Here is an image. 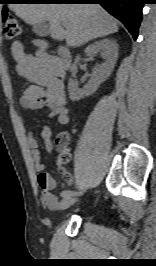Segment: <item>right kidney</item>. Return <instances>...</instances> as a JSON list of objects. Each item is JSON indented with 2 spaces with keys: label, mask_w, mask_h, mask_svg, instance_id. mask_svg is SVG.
<instances>
[{
  "label": "right kidney",
  "mask_w": 156,
  "mask_h": 266,
  "mask_svg": "<svg viewBox=\"0 0 156 266\" xmlns=\"http://www.w3.org/2000/svg\"><path fill=\"white\" fill-rule=\"evenodd\" d=\"M84 52L90 58L100 54L104 61L93 69L91 79L83 89H79L78 84L72 78L69 80L68 91L69 98L72 101L92 95L98 89L99 85L110 76L117 61L118 44L113 39L105 38L88 45ZM79 61L80 56L78 55L70 68L72 73L77 71Z\"/></svg>",
  "instance_id": "obj_1"
}]
</instances>
